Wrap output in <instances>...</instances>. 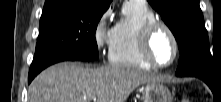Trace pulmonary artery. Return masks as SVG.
<instances>
[{
    "label": "pulmonary artery",
    "mask_w": 221,
    "mask_h": 102,
    "mask_svg": "<svg viewBox=\"0 0 221 102\" xmlns=\"http://www.w3.org/2000/svg\"><path fill=\"white\" fill-rule=\"evenodd\" d=\"M137 1L145 2L144 0H137Z\"/></svg>",
    "instance_id": "1"
}]
</instances>
